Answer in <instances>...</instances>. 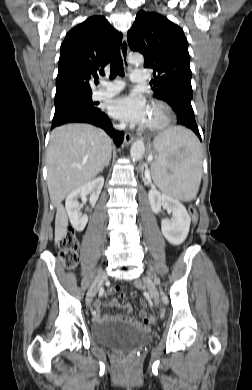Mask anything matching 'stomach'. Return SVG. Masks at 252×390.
<instances>
[{
    "label": "stomach",
    "instance_id": "obj_1",
    "mask_svg": "<svg viewBox=\"0 0 252 390\" xmlns=\"http://www.w3.org/2000/svg\"><path fill=\"white\" fill-rule=\"evenodd\" d=\"M173 158H174V156L173 155H170V156H168V160H170V161H172L173 160Z\"/></svg>",
    "mask_w": 252,
    "mask_h": 390
}]
</instances>
